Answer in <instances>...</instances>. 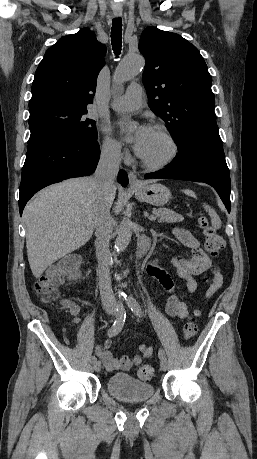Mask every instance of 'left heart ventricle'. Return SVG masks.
Returning a JSON list of instances; mask_svg holds the SVG:
<instances>
[{"mask_svg":"<svg viewBox=\"0 0 257 459\" xmlns=\"http://www.w3.org/2000/svg\"><path fill=\"white\" fill-rule=\"evenodd\" d=\"M170 151L169 142L159 131L152 128L141 157L150 162H159L165 159Z\"/></svg>","mask_w":257,"mask_h":459,"instance_id":"1","label":"left heart ventricle"}]
</instances>
